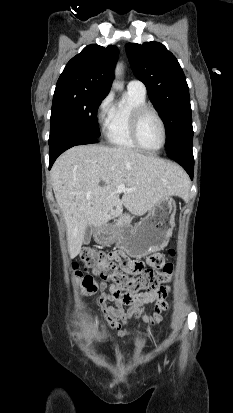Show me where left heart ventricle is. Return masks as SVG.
<instances>
[{
	"mask_svg": "<svg viewBox=\"0 0 233 413\" xmlns=\"http://www.w3.org/2000/svg\"><path fill=\"white\" fill-rule=\"evenodd\" d=\"M141 143L150 149L157 148L162 141V130L158 119L152 113H147L141 120L139 127Z\"/></svg>",
	"mask_w": 233,
	"mask_h": 413,
	"instance_id": "obj_1",
	"label": "left heart ventricle"
}]
</instances>
